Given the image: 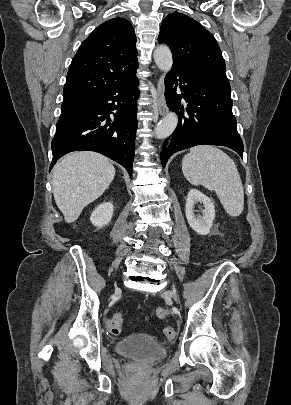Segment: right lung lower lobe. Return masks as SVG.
<instances>
[{
	"mask_svg": "<svg viewBox=\"0 0 291 405\" xmlns=\"http://www.w3.org/2000/svg\"><path fill=\"white\" fill-rule=\"evenodd\" d=\"M135 74L88 99L69 115L59 118L52 140L56 161L71 151H95L118 162L132 175L137 130ZM110 114L113 116L110 117Z\"/></svg>",
	"mask_w": 291,
	"mask_h": 405,
	"instance_id": "obj_1",
	"label": "right lung lower lobe"
}]
</instances>
